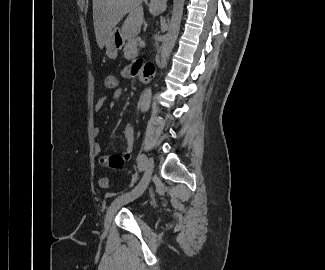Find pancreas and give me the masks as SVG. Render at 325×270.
<instances>
[{
  "mask_svg": "<svg viewBox=\"0 0 325 270\" xmlns=\"http://www.w3.org/2000/svg\"><path fill=\"white\" fill-rule=\"evenodd\" d=\"M138 40L136 38H131L125 44L124 47V57L128 60L135 58L138 55Z\"/></svg>",
  "mask_w": 325,
  "mask_h": 270,
  "instance_id": "pancreas-1",
  "label": "pancreas"
}]
</instances>
